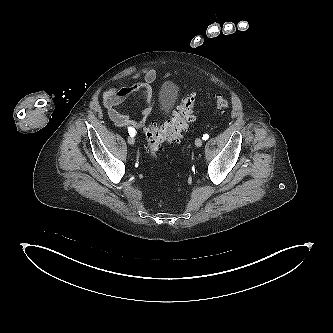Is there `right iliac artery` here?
<instances>
[{"mask_svg": "<svg viewBox=\"0 0 333 333\" xmlns=\"http://www.w3.org/2000/svg\"><path fill=\"white\" fill-rule=\"evenodd\" d=\"M128 131H129V135H130V136H132V137L135 136L136 131H135L134 129H132V128H128Z\"/></svg>", "mask_w": 333, "mask_h": 333, "instance_id": "82829eb1", "label": "right iliac artery"}]
</instances>
